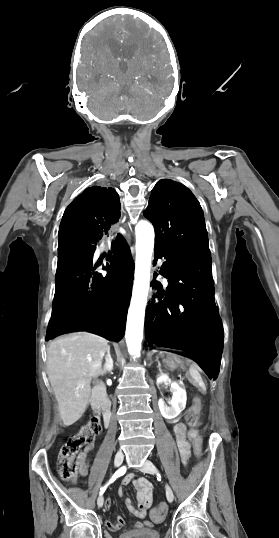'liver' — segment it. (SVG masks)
Segmentation results:
<instances>
[{"label": "liver", "mask_w": 279, "mask_h": 538, "mask_svg": "<svg viewBox=\"0 0 279 538\" xmlns=\"http://www.w3.org/2000/svg\"><path fill=\"white\" fill-rule=\"evenodd\" d=\"M107 350V340L87 332L66 334L51 342L47 350V374L64 426H72L84 414L91 380L102 374Z\"/></svg>", "instance_id": "1"}]
</instances>
